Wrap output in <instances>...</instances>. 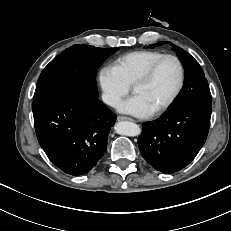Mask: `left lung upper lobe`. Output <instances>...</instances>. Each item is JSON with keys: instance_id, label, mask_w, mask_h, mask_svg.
<instances>
[{"instance_id": "5c2ea615", "label": "left lung upper lobe", "mask_w": 231, "mask_h": 231, "mask_svg": "<svg viewBox=\"0 0 231 231\" xmlns=\"http://www.w3.org/2000/svg\"><path fill=\"white\" fill-rule=\"evenodd\" d=\"M165 43L172 45V49L176 51L177 56L182 62L185 69V81L184 86L171 104L170 107L179 106L186 103H200L206 105H212V96L210 93L207 79L199 63L189 53L173 45L171 42H159L150 45V48L161 46Z\"/></svg>"}]
</instances>
